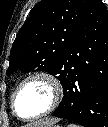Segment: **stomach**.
Here are the masks:
<instances>
[{"mask_svg": "<svg viewBox=\"0 0 108 127\" xmlns=\"http://www.w3.org/2000/svg\"><path fill=\"white\" fill-rule=\"evenodd\" d=\"M37 127H65L62 124H58L57 122L50 124V125H46V126H37Z\"/></svg>", "mask_w": 108, "mask_h": 127, "instance_id": "1", "label": "stomach"}]
</instances>
